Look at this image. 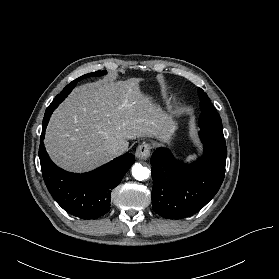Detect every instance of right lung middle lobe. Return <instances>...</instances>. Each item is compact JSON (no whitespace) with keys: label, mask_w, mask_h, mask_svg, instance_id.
I'll use <instances>...</instances> for the list:
<instances>
[{"label":"right lung middle lobe","mask_w":279,"mask_h":279,"mask_svg":"<svg viewBox=\"0 0 279 279\" xmlns=\"http://www.w3.org/2000/svg\"><path fill=\"white\" fill-rule=\"evenodd\" d=\"M106 71H97V72H92L90 74L83 75L76 80L72 81L70 84H68L63 91L58 95V98H61L65 93H70L72 89L76 86L77 82L80 81L83 78L90 77V76H99V75H104ZM57 97V96H56Z\"/></svg>","instance_id":"right-lung-middle-lobe-1"}]
</instances>
